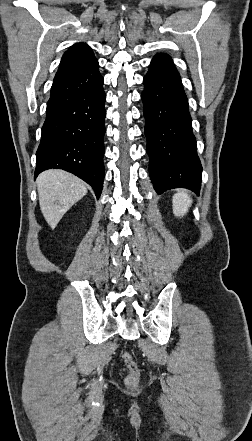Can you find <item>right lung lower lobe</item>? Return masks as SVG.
Returning a JSON list of instances; mask_svg holds the SVG:
<instances>
[{
	"label": "right lung lower lobe",
	"instance_id": "1",
	"mask_svg": "<svg viewBox=\"0 0 252 441\" xmlns=\"http://www.w3.org/2000/svg\"><path fill=\"white\" fill-rule=\"evenodd\" d=\"M98 61L54 79L36 153L35 177L57 168L90 184L99 198L104 180L105 100Z\"/></svg>",
	"mask_w": 252,
	"mask_h": 441
}]
</instances>
